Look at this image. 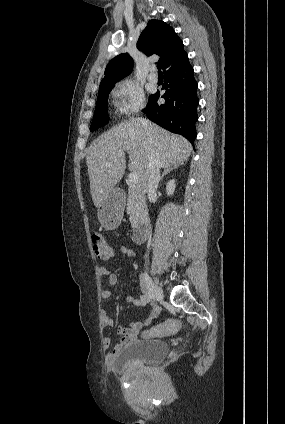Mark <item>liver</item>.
Here are the masks:
<instances>
[{
    "label": "liver",
    "instance_id": "1",
    "mask_svg": "<svg viewBox=\"0 0 285 424\" xmlns=\"http://www.w3.org/2000/svg\"><path fill=\"white\" fill-rule=\"evenodd\" d=\"M140 118L120 123L98 137L86 150V163L90 191L96 207L108 197L123 177L126 168L125 152L129 154L128 168L139 176V187L147 191L148 148L151 146L160 167L183 164L191 154L192 146L187 139L172 134Z\"/></svg>",
    "mask_w": 285,
    "mask_h": 424
}]
</instances>
